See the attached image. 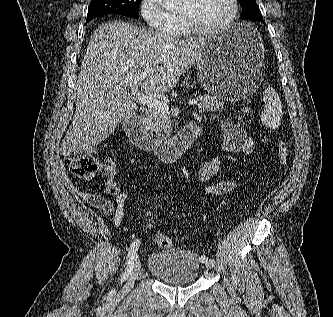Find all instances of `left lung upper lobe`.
I'll return each instance as SVG.
<instances>
[{"instance_id": "5c2ea615", "label": "left lung upper lobe", "mask_w": 333, "mask_h": 317, "mask_svg": "<svg viewBox=\"0 0 333 317\" xmlns=\"http://www.w3.org/2000/svg\"><path fill=\"white\" fill-rule=\"evenodd\" d=\"M242 6L241 19L262 22L263 17L255 0H239Z\"/></svg>"}]
</instances>
